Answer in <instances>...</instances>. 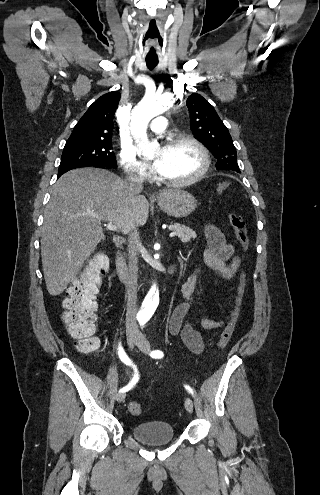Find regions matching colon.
Segmentation results:
<instances>
[{
  "mask_svg": "<svg viewBox=\"0 0 320 495\" xmlns=\"http://www.w3.org/2000/svg\"><path fill=\"white\" fill-rule=\"evenodd\" d=\"M229 187L228 181H222L217 185V193L224 194ZM229 221L233 227L237 243L246 252L249 247V236L243 216L232 212L229 214ZM108 270L109 260L107 256L102 253L95 255L86 269L69 287L67 297L64 300L63 321L69 334L77 340V346L82 352L91 353L98 347V339L94 336L98 307L97 295ZM245 286L246 277L242 273L237 287L235 308L219 336L218 347L220 350L225 349L232 338ZM128 409L132 415H139L142 410L141 404L135 401L130 402Z\"/></svg>",
  "mask_w": 320,
  "mask_h": 495,
  "instance_id": "obj_1",
  "label": "colon"
}]
</instances>
